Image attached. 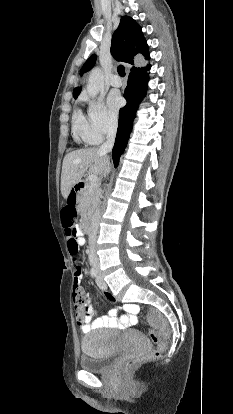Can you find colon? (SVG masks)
Listing matches in <instances>:
<instances>
[{
    "label": "colon",
    "instance_id": "obj_1",
    "mask_svg": "<svg viewBox=\"0 0 233 414\" xmlns=\"http://www.w3.org/2000/svg\"><path fill=\"white\" fill-rule=\"evenodd\" d=\"M76 217V211L73 209L72 212L64 211L62 218L66 235L68 236V249L70 254L72 251H79V245L76 238V229L74 226ZM76 260L78 261V258H76ZM72 298L77 321L80 325H82L87 322L86 316L83 315V310L85 309V306L88 305V297L82 285L77 291L72 288ZM147 321L154 328L150 331V338L153 342L157 343V348L150 352L149 356L152 358H157L165 348V343L162 341V337L169 334V329L166 320L156 309L148 310ZM140 360L141 358L138 356H132L128 358L124 364V369L130 370L134 368L140 362Z\"/></svg>",
    "mask_w": 233,
    "mask_h": 414
}]
</instances>
